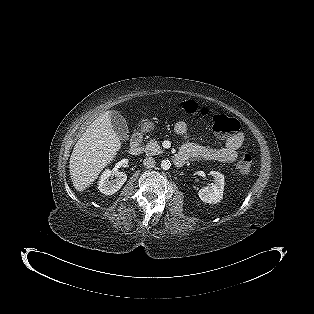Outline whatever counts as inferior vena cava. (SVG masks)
I'll return each mask as SVG.
<instances>
[{
  "mask_svg": "<svg viewBox=\"0 0 314 314\" xmlns=\"http://www.w3.org/2000/svg\"><path fill=\"white\" fill-rule=\"evenodd\" d=\"M143 165L145 168H153L155 166V160L153 157H146L143 160Z\"/></svg>",
  "mask_w": 314,
  "mask_h": 314,
  "instance_id": "1",
  "label": "inferior vena cava"
}]
</instances>
